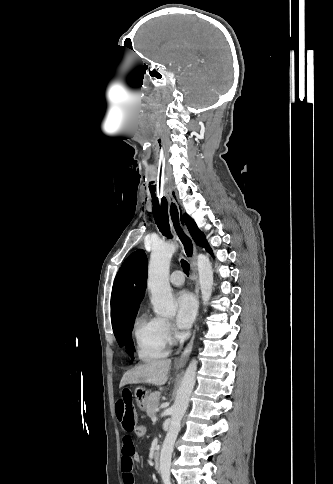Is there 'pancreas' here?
I'll return each instance as SVG.
<instances>
[{
    "mask_svg": "<svg viewBox=\"0 0 333 484\" xmlns=\"http://www.w3.org/2000/svg\"><path fill=\"white\" fill-rule=\"evenodd\" d=\"M160 393L159 392H154L151 393L148 398H147V404H146V412L147 415L152 418L156 416L155 409L158 407L160 403Z\"/></svg>",
    "mask_w": 333,
    "mask_h": 484,
    "instance_id": "cf45deb5",
    "label": "pancreas"
}]
</instances>
